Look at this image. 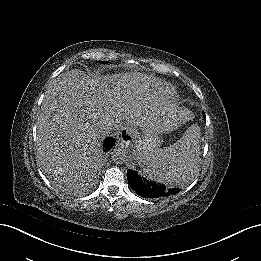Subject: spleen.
I'll list each match as a JSON object with an SVG mask.
<instances>
[{"label": "spleen", "instance_id": "3e777b00", "mask_svg": "<svg viewBox=\"0 0 261 261\" xmlns=\"http://www.w3.org/2000/svg\"><path fill=\"white\" fill-rule=\"evenodd\" d=\"M199 135V127L192 125L176 143L145 154L140 159L146 167L145 173L164 184H181L186 177L185 170L190 173L198 162Z\"/></svg>", "mask_w": 261, "mask_h": 261}]
</instances>
